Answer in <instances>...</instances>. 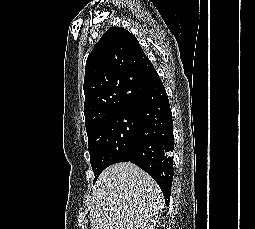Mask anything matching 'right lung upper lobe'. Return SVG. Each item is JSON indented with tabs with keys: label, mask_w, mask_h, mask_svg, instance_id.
I'll return each mask as SVG.
<instances>
[{
	"label": "right lung upper lobe",
	"mask_w": 255,
	"mask_h": 229,
	"mask_svg": "<svg viewBox=\"0 0 255 229\" xmlns=\"http://www.w3.org/2000/svg\"><path fill=\"white\" fill-rule=\"evenodd\" d=\"M156 73L132 33L121 27L108 29L86 61L83 89L88 137L124 110Z\"/></svg>",
	"instance_id": "obj_1"
}]
</instances>
